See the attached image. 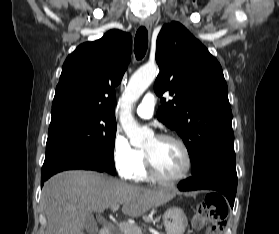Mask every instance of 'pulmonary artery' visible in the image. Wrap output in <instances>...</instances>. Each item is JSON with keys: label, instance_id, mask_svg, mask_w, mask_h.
I'll return each instance as SVG.
<instances>
[{"label": "pulmonary artery", "instance_id": "e3ab8cb5", "mask_svg": "<svg viewBox=\"0 0 279 234\" xmlns=\"http://www.w3.org/2000/svg\"><path fill=\"white\" fill-rule=\"evenodd\" d=\"M156 104V97L152 93L146 94L142 101L136 106L135 111L137 115L144 119H149L153 116L154 107Z\"/></svg>", "mask_w": 279, "mask_h": 234}]
</instances>
